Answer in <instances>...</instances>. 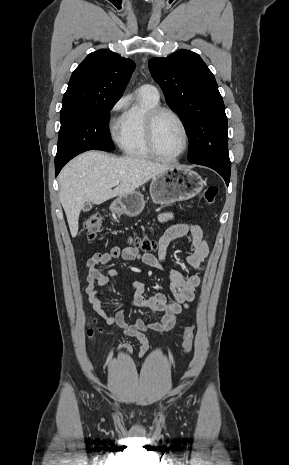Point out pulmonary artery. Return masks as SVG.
<instances>
[{
  "label": "pulmonary artery",
  "instance_id": "e3ab8cb5",
  "mask_svg": "<svg viewBox=\"0 0 289 465\" xmlns=\"http://www.w3.org/2000/svg\"><path fill=\"white\" fill-rule=\"evenodd\" d=\"M140 89L148 91L150 94H152L154 97L159 98V93L157 88L154 85L151 84H144L141 86Z\"/></svg>",
  "mask_w": 289,
  "mask_h": 465
}]
</instances>
